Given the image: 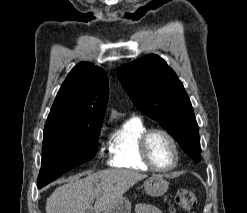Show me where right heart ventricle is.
Listing matches in <instances>:
<instances>
[{
    "label": "right heart ventricle",
    "instance_id": "e07e8e85",
    "mask_svg": "<svg viewBox=\"0 0 247 213\" xmlns=\"http://www.w3.org/2000/svg\"><path fill=\"white\" fill-rule=\"evenodd\" d=\"M147 129L145 123L137 117L127 119L116 128L108 142L110 165L134 171L150 170L139 154V140Z\"/></svg>",
    "mask_w": 247,
    "mask_h": 213
}]
</instances>
